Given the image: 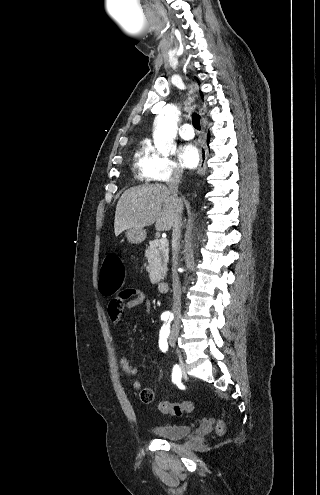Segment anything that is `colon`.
<instances>
[{
	"instance_id": "1",
	"label": "colon",
	"mask_w": 320,
	"mask_h": 495,
	"mask_svg": "<svg viewBox=\"0 0 320 495\" xmlns=\"http://www.w3.org/2000/svg\"><path fill=\"white\" fill-rule=\"evenodd\" d=\"M125 277L124 266L121 258L114 253L108 254L100 267L99 271V289L104 294L115 293L123 284ZM127 293H118L119 301L122 302L127 298ZM140 400L145 404H150L154 401V392L145 388L140 392ZM160 412L174 416H182L190 414L194 410V404L190 401L184 402H169L161 401L158 404ZM216 430L219 435L225 432V424L219 421L216 425Z\"/></svg>"
}]
</instances>
